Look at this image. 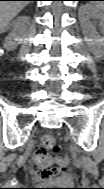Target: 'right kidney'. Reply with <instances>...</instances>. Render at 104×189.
I'll return each mask as SVG.
<instances>
[{"label": "right kidney", "mask_w": 104, "mask_h": 189, "mask_svg": "<svg viewBox=\"0 0 104 189\" xmlns=\"http://www.w3.org/2000/svg\"><path fill=\"white\" fill-rule=\"evenodd\" d=\"M28 21L26 17H20L17 19L14 25L13 31L6 37L4 47L7 50H13L22 40V34L25 28V23Z\"/></svg>", "instance_id": "1"}]
</instances>
